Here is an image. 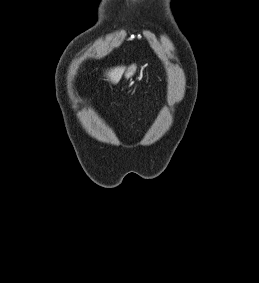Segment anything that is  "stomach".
I'll return each mask as SVG.
<instances>
[{
    "label": "stomach",
    "mask_w": 259,
    "mask_h": 283,
    "mask_svg": "<svg viewBox=\"0 0 259 283\" xmlns=\"http://www.w3.org/2000/svg\"><path fill=\"white\" fill-rule=\"evenodd\" d=\"M136 69H137L136 65L130 66L125 73L126 79L132 78L136 72Z\"/></svg>",
    "instance_id": "obj_1"
}]
</instances>
